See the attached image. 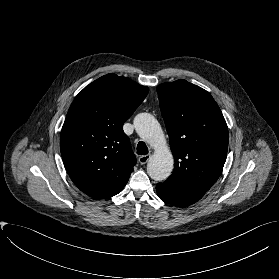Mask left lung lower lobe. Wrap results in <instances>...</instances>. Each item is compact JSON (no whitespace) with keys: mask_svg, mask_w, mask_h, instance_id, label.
I'll use <instances>...</instances> for the list:
<instances>
[{"mask_svg":"<svg viewBox=\"0 0 279 279\" xmlns=\"http://www.w3.org/2000/svg\"><path fill=\"white\" fill-rule=\"evenodd\" d=\"M156 190L162 201L176 207L192 205L202 198L199 194L174 187L167 182L158 183Z\"/></svg>","mask_w":279,"mask_h":279,"instance_id":"1","label":"left lung lower lobe"}]
</instances>
